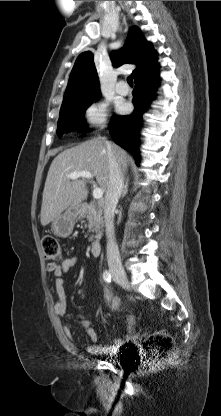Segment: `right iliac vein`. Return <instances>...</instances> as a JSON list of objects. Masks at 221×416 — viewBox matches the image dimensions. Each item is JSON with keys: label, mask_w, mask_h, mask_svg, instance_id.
I'll return each mask as SVG.
<instances>
[{"label": "right iliac vein", "mask_w": 221, "mask_h": 416, "mask_svg": "<svg viewBox=\"0 0 221 416\" xmlns=\"http://www.w3.org/2000/svg\"><path fill=\"white\" fill-rule=\"evenodd\" d=\"M114 279L121 284L123 287L129 288V281L127 278L126 273L120 269H112L111 270Z\"/></svg>", "instance_id": "right-iliac-vein-1"}]
</instances>
